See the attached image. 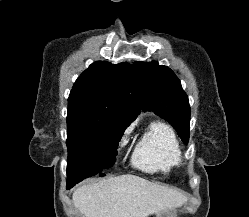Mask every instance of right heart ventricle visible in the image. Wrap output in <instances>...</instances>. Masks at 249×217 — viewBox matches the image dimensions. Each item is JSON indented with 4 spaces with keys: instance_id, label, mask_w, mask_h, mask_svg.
<instances>
[{
    "instance_id": "obj_1",
    "label": "right heart ventricle",
    "mask_w": 249,
    "mask_h": 217,
    "mask_svg": "<svg viewBox=\"0 0 249 217\" xmlns=\"http://www.w3.org/2000/svg\"><path fill=\"white\" fill-rule=\"evenodd\" d=\"M182 163V149L173 129L161 121L152 122L133 152V166L149 174L169 176Z\"/></svg>"
}]
</instances>
